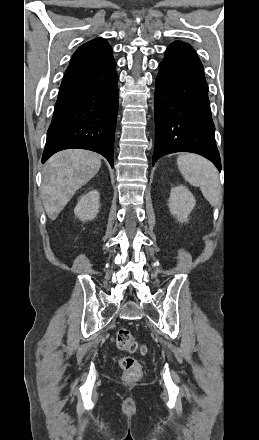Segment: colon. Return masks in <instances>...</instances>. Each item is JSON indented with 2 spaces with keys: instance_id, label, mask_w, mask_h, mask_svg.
I'll return each mask as SVG.
<instances>
[{
  "instance_id": "colon-1",
  "label": "colon",
  "mask_w": 259,
  "mask_h": 440,
  "mask_svg": "<svg viewBox=\"0 0 259 440\" xmlns=\"http://www.w3.org/2000/svg\"><path fill=\"white\" fill-rule=\"evenodd\" d=\"M115 341L120 350L128 353H143L145 351V348L136 342L134 336L127 328H121L117 331ZM119 365L124 371L123 378L125 381L132 382L141 376V365L136 359L132 357H122L119 360Z\"/></svg>"
}]
</instances>
